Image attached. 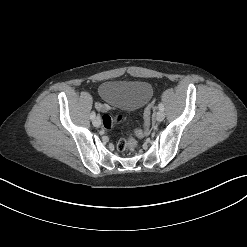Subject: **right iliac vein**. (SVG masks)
<instances>
[{
    "instance_id": "right-iliac-vein-1",
    "label": "right iliac vein",
    "mask_w": 247,
    "mask_h": 247,
    "mask_svg": "<svg viewBox=\"0 0 247 247\" xmlns=\"http://www.w3.org/2000/svg\"><path fill=\"white\" fill-rule=\"evenodd\" d=\"M93 124H94L95 127H100L101 126V119H100L99 116H97L96 118H94Z\"/></svg>"
}]
</instances>
